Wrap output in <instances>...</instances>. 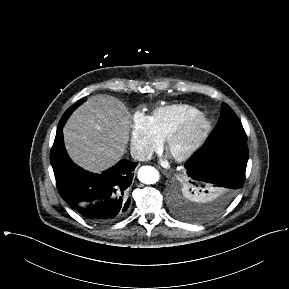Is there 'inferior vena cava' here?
<instances>
[{"label": "inferior vena cava", "instance_id": "602c4592", "mask_svg": "<svg viewBox=\"0 0 289 289\" xmlns=\"http://www.w3.org/2000/svg\"><path fill=\"white\" fill-rule=\"evenodd\" d=\"M131 156L133 159L138 161H147L151 159V153L144 149L131 148Z\"/></svg>", "mask_w": 289, "mask_h": 289}]
</instances>
